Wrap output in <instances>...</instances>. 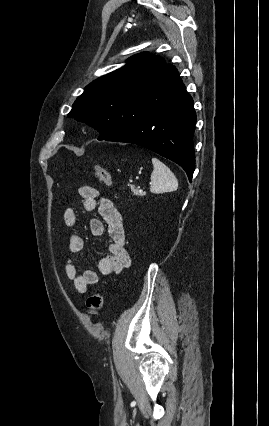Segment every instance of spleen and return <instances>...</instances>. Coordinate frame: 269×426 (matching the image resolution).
I'll return each instance as SVG.
<instances>
[{"label": "spleen", "instance_id": "obj_1", "mask_svg": "<svg viewBox=\"0 0 269 426\" xmlns=\"http://www.w3.org/2000/svg\"><path fill=\"white\" fill-rule=\"evenodd\" d=\"M152 164L150 191L155 194L176 191L178 181L172 171L157 158H152Z\"/></svg>", "mask_w": 269, "mask_h": 426}]
</instances>
